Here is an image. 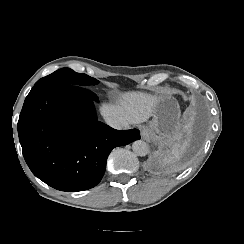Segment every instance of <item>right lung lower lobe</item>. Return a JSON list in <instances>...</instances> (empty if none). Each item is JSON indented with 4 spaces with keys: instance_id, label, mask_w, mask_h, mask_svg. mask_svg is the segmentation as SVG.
<instances>
[{
    "instance_id": "obj_1",
    "label": "right lung lower lobe",
    "mask_w": 244,
    "mask_h": 244,
    "mask_svg": "<svg viewBox=\"0 0 244 244\" xmlns=\"http://www.w3.org/2000/svg\"><path fill=\"white\" fill-rule=\"evenodd\" d=\"M86 87H33L18 121L24 159L33 174L61 191H83L102 179L111 150L140 139L138 129L115 130L97 121Z\"/></svg>"
}]
</instances>
